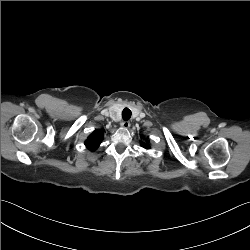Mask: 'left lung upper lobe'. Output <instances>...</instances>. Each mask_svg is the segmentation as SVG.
Listing matches in <instances>:
<instances>
[{
	"instance_id": "obj_1",
	"label": "left lung upper lobe",
	"mask_w": 250,
	"mask_h": 250,
	"mask_svg": "<svg viewBox=\"0 0 250 250\" xmlns=\"http://www.w3.org/2000/svg\"><path fill=\"white\" fill-rule=\"evenodd\" d=\"M142 146L145 147V148H149V145L146 144V143H142Z\"/></svg>"
}]
</instances>
